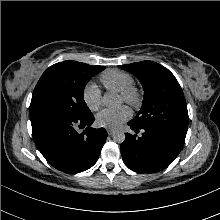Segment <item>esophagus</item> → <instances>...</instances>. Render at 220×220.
<instances>
[{
  "label": "esophagus",
  "instance_id": "esophagus-1",
  "mask_svg": "<svg viewBox=\"0 0 220 220\" xmlns=\"http://www.w3.org/2000/svg\"><path fill=\"white\" fill-rule=\"evenodd\" d=\"M107 133L111 136L115 133V131L113 129H107Z\"/></svg>",
  "mask_w": 220,
  "mask_h": 220
}]
</instances>
